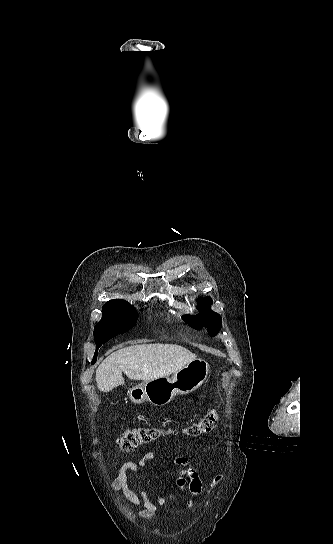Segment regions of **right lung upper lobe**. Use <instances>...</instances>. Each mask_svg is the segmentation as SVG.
<instances>
[{"label":"right lung upper lobe","mask_w":333,"mask_h":544,"mask_svg":"<svg viewBox=\"0 0 333 544\" xmlns=\"http://www.w3.org/2000/svg\"><path fill=\"white\" fill-rule=\"evenodd\" d=\"M117 302H124V300L116 299V300H110L107 303H117ZM106 303V304H107Z\"/></svg>","instance_id":"cb5924a9"}]
</instances>
